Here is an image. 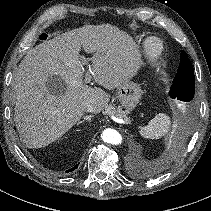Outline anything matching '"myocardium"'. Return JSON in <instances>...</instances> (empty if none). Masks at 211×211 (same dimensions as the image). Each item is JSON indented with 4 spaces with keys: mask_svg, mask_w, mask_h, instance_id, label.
<instances>
[{
    "mask_svg": "<svg viewBox=\"0 0 211 211\" xmlns=\"http://www.w3.org/2000/svg\"><path fill=\"white\" fill-rule=\"evenodd\" d=\"M163 51V42L156 38L151 37L145 42V53L153 59H157L161 56Z\"/></svg>",
    "mask_w": 211,
    "mask_h": 211,
    "instance_id": "obj_1",
    "label": "myocardium"
}]
</instances>
